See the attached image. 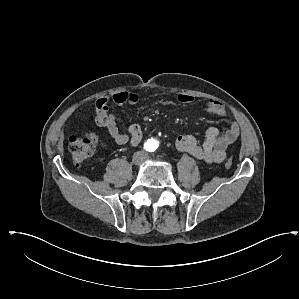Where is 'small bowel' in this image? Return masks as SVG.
Here are the masks:
<instances>
[{"label": "small bowel", "mask_w": 299, "mask_h": 299, "mask_svg": "<svg viewBox=\"0 0 299 299\" xmlns=\"http://www.w3.org/2000/svg\"><path fill=\"white\" fill-rule=\"evenodd\" d=\"M139 98L135 92L122 91L110 97H100L95 102L98 126L106 130L112 140L119 145L128 143L131 147L138 146L142 141L143 132L138 124H131L128 127V134L121 132L117 125V115L110 110V106L134 105L139 101ZM178 102L189 105L194 102V98L181 94L178 96ZM202 111L226 120L225 130L220 133L216 127L208 128L205 140L201 144L193 135H179L175 140V147L177 150L189 153L205 163H220L226 157L227 147L239 137L240 128L236 122L229 120L227 110L216 100H208L202 107Z\"/></svg>", "instance_id": "small-bowel-1"}]
</instances>
